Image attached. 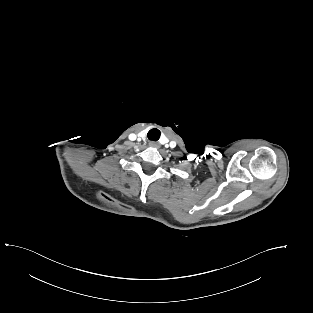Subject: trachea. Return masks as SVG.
<instances>
[{"label": "trachea", "mask_w": 313, "mask_h": 313, "mask_svg": "<svg viewBox=\"0 0 313 313\" xmlns=\"http://www.w3.org/2000/svg\"><path fill=\"white\" fill-rule=\"evenodd\" d=\"M160 131L156 128H153L151 130H149V132L147 133V137L149 140L151 141H157L160 138Z\"/></svg>", "instance_id": "trachea-1"}]
</instances>
